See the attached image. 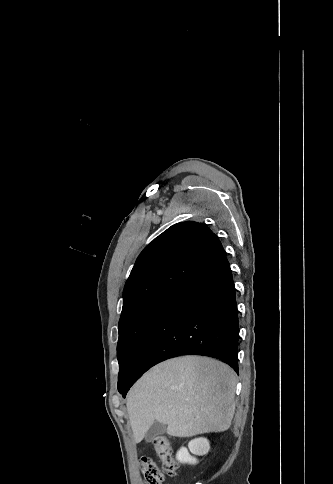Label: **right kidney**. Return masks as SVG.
Listing matches in <instances>:
<instances>
[{
  "instance_id": "ca27d5eb",
  "label": "right kidney",
  "mask_w": 333,
  "mask_h": 484,
  "mask_svg": "<svg viewBox=\"0 0 333 484\" xmlns=\"http://www.w3.org/2000/svg\"><path fill=\"white\" fill-rule=\"evenodd\" d=\"M188 449L190 453L195 456L205 455L210 450V443L206 438H197L189 442ZM189 451L187 448L181 447L176 455L177 460L181 463H188L191 465L197 464V459L191 456Z\"/></svg>"
}]
</instances>
